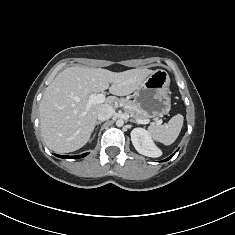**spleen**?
<instances>
[{
	"mask_svg": "<svg viewBox=\"0 0 235 235\" xmlns=\"http://www.w3.org/2000/svg\"><path fill=\"white\" fill-rule=\"evenodd\" d=\"M183 120V116L177 114L167 124L150 126L148 131L156 141L170 145L177 139L183 126Z\"/></svg>",
	"mask_w": 235,
	"mask_h": 235,
	"instance_id": "obj_1",
	"label": "spleen"
}]
</instances>
